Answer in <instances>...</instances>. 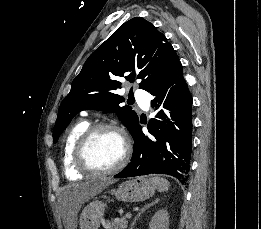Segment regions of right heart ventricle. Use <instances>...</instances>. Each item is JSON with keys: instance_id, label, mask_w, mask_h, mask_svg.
<instances>
[{"instance_id": "1", "label": "right heart ventricle", "mask_w": 261, "mask_h": 229, "mask_svg": "<svg viewBox=\"0 0 261 229\" xmlns=\"http://www.w3.org/2000/svg\"><path fill=\"white\" fill-rule=\"evenodd\" d=\"M89 126L90 123L87 120H80L70 128L63 139L61 156L63 168L67 173L83 174L74 163V147L80 136Z\"/></svg>"}]
</instances>
